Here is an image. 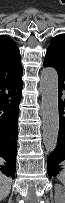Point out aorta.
<instances>
[{
	"instance_id": "1",
	"label": "aorta",
	"mask_w": 65,
	"mask_h": 203,
	"mask_svg": "<svg viewBox=\"0 0 65 203\" xmlns=\"http://www.w3.org/2000/svg\"><path fill=\"white\" fill-rule=\"evenodd\" d=\"M40 92L43 143L47 152H53L57 147L59 133L58 74L53 67H46L41 71Z\"/></svg>"
}]
</instances>
